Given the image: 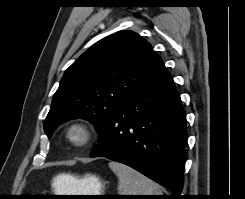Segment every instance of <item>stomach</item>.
I'll list each match as a JSON object with an SVG mask.
<instances>
[{"label": "stomach", "instance_id": "stomach-1", "mask_svg": "<svg viewBox=\"0 0 245 199\" xmlns=\"http://www.w3.org/2000/svg\"><path fill=\"white\" fill-rule=\"evenodd\" d=\"M54 186L61 195H101L103 184L99 177L86 174L79 178L69 174H61L55 177Z\"/></svg>", "mask_w": 245, "mask_h": 199}]
</instances>
